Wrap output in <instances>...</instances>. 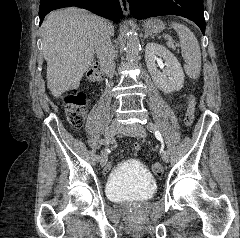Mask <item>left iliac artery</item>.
Masks as SVG:
<instances>
[{"label":"left iliac artery","mask_w":240,"mask_h":238,"mask_svg":"<svg viewBox=\"0 0 240 238\" xmlns=\"http://www.w3.org/2000/svg\"><path fill=\"white\" fill-rule=\"evenodd\" d=\"M147 129L150 131V132H154V129H156V126L153 124V123H148L147 125ZM162 155H167V150H162Z\"/></svg>","instance_id":"1"}]
</instances>
